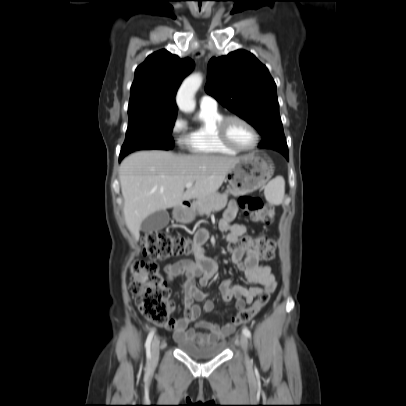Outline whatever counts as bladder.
I'll return each instance as SVG.
<instances>
[{
    "label": "bladder",
    "instance_id": "31cf9c89",
    "mask_svg": "<svg viewBox=\"0 0 406 406\" xmlns=\"http://www.w3.org/2000/svg\"><path fill=\"white\" fill-rule=\"evenodd\" d=\"M177 344L183 353L200 360L215 357L223 350V345L214 343L196 344L186 341H177Z\"/></svg>",
    "mask_w": 406,
    "mask_h": 406
}]
</instances>
